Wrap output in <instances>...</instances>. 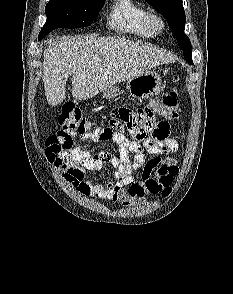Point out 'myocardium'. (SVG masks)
I'll return each mask as SVG.
<instances>
[{
	"label": "myocardium",
	"mask_w": 233,
	"mask_h": 294,
	"mask_svg": "<svg viewBox=\"0 0 233 294\" xmlns=\"http://www.w3.org/2000/svg\"><path fill=\"white\" fill-rule=\"evenodd\" d=\"M147 20L150 28L155 33H161L166 27L164 18L158 13L149 12Z\"/></svg>",
	"instance_id": "1"
}]
</instances>
